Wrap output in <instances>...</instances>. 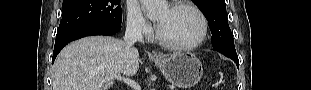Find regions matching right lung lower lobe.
Listing matches in <instances>:
<instances>
[{
    "mask_svg": "<svg viewBox=\"0 0 311 90\" xmlns=\"http://www.w3.org/2000/svg\"><path fill=\"white\" fill-rule=\"evenodd\" d=\"M121 29V25H98L91 24L85 25L81 27H76L66 32L57 34L55 40V48L53 52L52 62H54L57 54L61 51V49L67 45V43L92 35H113L117 33Z\"/></svg>",
    "mask_w": 311,
    "mask_h": 90,
    "instance_id": "right-lung-lower-lobe-1",
    "label": "right lung lower lobe"
}]
</instances>
